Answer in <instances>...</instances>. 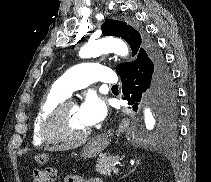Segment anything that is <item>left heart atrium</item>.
<instances>
[{
  "label": "left heart atrium",
  "mask_w": 211,
  "mask_h": 182,
  "mask_svg": "<svg viewBox=\"0 0 211 182\" xmlns=\"http://www.w3.org/2000/svg\"><path fill=\"white\" fill-rule=\"evenodd\" d=\"M104 100L96 94H88L79 107V116L87 126L100 122L106 115Z\"/></svg>",
  "instance_id": "1"
}]
</instances>
